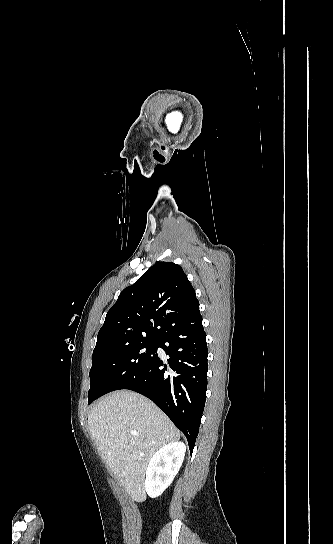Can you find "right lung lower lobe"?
<instances>
[{
    "mask_svg": "<svg viewBox=\"0 0 333 544\" xmlns=\"http://www.w3.org/2000/svg\"><path fill=\"white\" fill-rule=\"evenodd\" d=\"M158 347L169 356L168 368L157 355L140 376L122 389L151 399L184 433L192 452L207 390L208 349L201 314L167 331Z\"/></svg>",
    "mask_w": 333,
    "mask_h": 544,
    "instance_id": "right-lung-lower-lobe-1",
    "label": "right lung lower lobe"
}]
</instances>
